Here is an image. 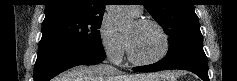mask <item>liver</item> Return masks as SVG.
Here are the masks:
<instances>
[{"mask_svg":"<svg viewBox=\"0 0 237 81\" xmlns=\"http://www.w3.org/2000/svg\"><path fill=\"white\" fill-rule=\"evenodd\" d=\"M161 76L152 73L126 75L117 69L111 71L106 64H98L73 67L57 77L56 81H151Z\"/></svg>","mask_w":237,"mask_h":81,"instance_id":"1","label":"liver"}]
</instances>
